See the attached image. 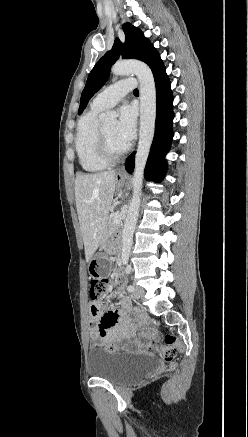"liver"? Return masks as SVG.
I'll list each match as a JSON object with an SVG mask.
<instances>
[{"label": "liver", "mask_w": 248, "mask_h": 437, "mask_svg": "<svg viewBox=\"0 0 248 437\" xmlns=\"http://www.w3.org/2000/svg\"><path fill=\"white\" fill-rule=\"evenodd\" d=\"M116 188L115 171L81 174L75 179V201L88 262L104 236Z\"/></svg>", "instance_id": "6515ba94"}]
</instances>
